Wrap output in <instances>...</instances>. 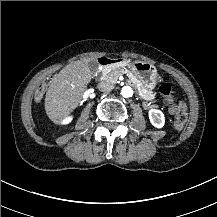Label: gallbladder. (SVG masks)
<instances>
[{"mask_svg":"<svg viewBox=\"0 0 217 217\" xmlns=\"http://www.w3.org/2000/svg\"><path fill=\"white\" fill-rule=\"evenodd\" d=\"M88 67L92 73V75H95L98 72V63L95 60H90L88 63Z\"/></svg>","mask_w":217,"mask_h":217,"instance_id":"bac80fb5","label":"gallbladder"}]
</instances>
